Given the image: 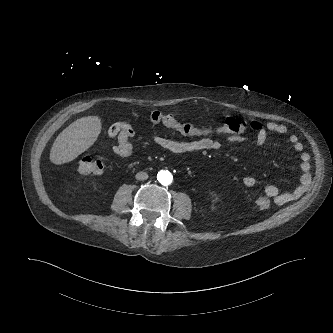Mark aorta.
<instances>
[{
  "mask_svg": "<svg viewBox=\"0 0 333 333\" xmlns=\"http://www.w3.org/2000/svg\"><path fill=\"white\" fill-rule=\"evenodd\" d=\"M157 178L162 185H169L172 182V175L168 171H160L157 175Z\"/></svg>",
  "mask_w": 333,
  "mask_h": 333,
  "instance_id": "1",
  "label": "aorta"
}]
</instances>
